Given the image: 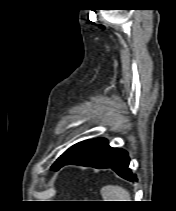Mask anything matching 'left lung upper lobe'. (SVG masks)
Segmentation results:
<instances>
[{
  "instance_id": "1",
  "label": "left lung upper lobe",
  "mask_w": 176,
  "mask_h": 211,
  "mask_svg": "<svg viewBox=\"0 0 176 211\" xmlns=\"http://www.w3.org/2000/svg\"><path fill=\"white\" fill-rule=\"evenodd\" d=\"M90 140L79 142L72 147H70L68 150H66L52 165V168L56 170L64 161L68 160L69 158L73 157L75 154H77L83 147L89 142Z\"/></svg>"
}]
</instances>
